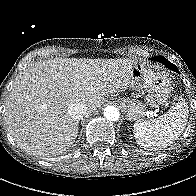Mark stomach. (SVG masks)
I'll use <instances>...</instances> for the list:
<instances>
[{"mask_svg": "<svg viewBox=\"0 0 196 196\" xmlns=\"http://www.w3.org/2000/svg\"><path fill=\"white\" fill-rule=\"evenodd\" d=\"M131 85L134 90H145L146 104L131 98H119L117 101L127 113L130 121L145 115L146 105L159 107L164 105L171 93V82L167 76L147 67L141 61H133L131 66Z\"/></svg>", "mask_w": 196, "mask_h": 196, "instance_id": "0dacf381", "label": "stomach"}]
</instances>
